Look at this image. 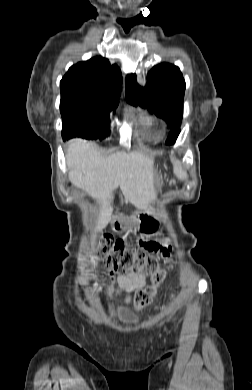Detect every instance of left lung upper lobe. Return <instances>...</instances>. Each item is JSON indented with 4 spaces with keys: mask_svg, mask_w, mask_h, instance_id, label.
<instances>
[{
    "mask_svg": "<svg viewBox=\"0 0 252 390\" xmlns=\"http://www.w3.org/2000/svg\"><path fill=\"white\" fill-rule=\"evenodd\" d=\"M185 87L179 68L168 63L159 64L149 71L146 87L137 84L135 74L126 77L127 101L147 107L173 128L167 144H174L180 132L178 125L183 117Z\"/></svg>",
    "mask_w": 252,
    "mask_h": 390,
    "instance_id": "5c2ea615",
    "label": "left lung upper lobe"
}]
</instances>
